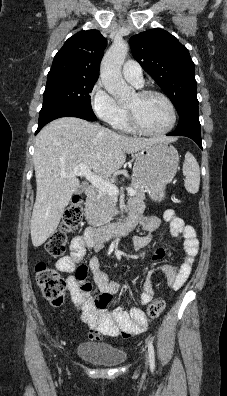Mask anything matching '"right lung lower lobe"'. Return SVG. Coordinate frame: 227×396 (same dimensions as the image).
I'll list each match as a JSON object with an SVG mask.
<instances>
[{
    "instance_id": "1",
    "label": "right lung lower lobe",
    "mask_w": 227,
    "mask_h": 396,
    "mask_svg": "<svg viewBox=\"0 0 227 396\" xmlns=\"http://www.w3.org/2000/svg\"><path fill=\"white\" fill-rule=\"evenodd\" d=\"M67 116L77 117L85 119L87 121L96 120V118L87 115L76 107L69 105H54L48 108L41 109L39 113L38 129L36 133H38L47 123L51 122L52 120Z\"/></svg>"
}]
</instances>
